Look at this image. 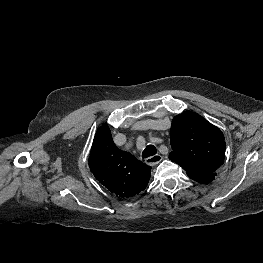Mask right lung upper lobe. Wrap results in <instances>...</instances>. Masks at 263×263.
Returning a JSON list of instances; mask_svg holds the SVG:
<instances>
[{
    "label": "right lung upper lobe",
    "instance_id": "right-lung-upper-lobe-1",
    "mask_svg": "<svg viewBox=\"0 0 263 263\" xmlns=\"http://www.w3.org/2000/svg\"><path fill=\"white\" fill-rule=\"evenodd\" d=\"M89 167L95 178L119 197H132L143 191L151 168L132 154L118 149L107 124L96 131Z\"/></svg>",
    "mask_w": 263,
    "mask_h": 263
}]
</instances>
